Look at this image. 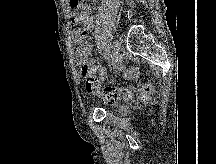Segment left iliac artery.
<instances>
[{"instance_id": "left-iliac-artery-1", "label": "left iliac artery", "mask_w": 216, "mask_h": 164, "mask_svg": "<svg viewBox=\"0 0 216 164\" xmlns=\"http://www.w3.org/2000/svg\"><path fill=\"white\" fill-rule=\"evenodd\" d=\"M107 59H109V63L107 64L109 67L111 65H117V61H118V57H117V54L116 53H113V54H107Z\"/></svg>"}]
</instances>
